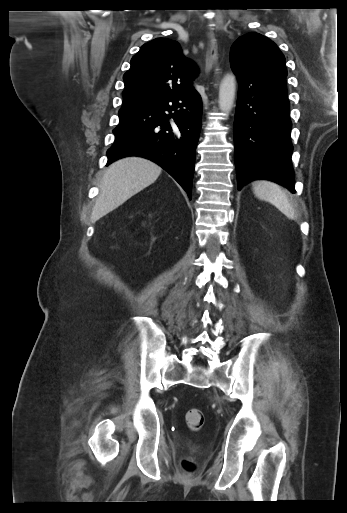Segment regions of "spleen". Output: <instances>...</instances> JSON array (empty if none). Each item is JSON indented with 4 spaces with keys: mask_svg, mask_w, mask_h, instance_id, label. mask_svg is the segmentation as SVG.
<instances>
[{
    "mask_svg": "<svg viewBox=\"0 0 347 513\" xmlns=\"http://www.w3.org/2000/svg\"><path fill=\"white\" fill-rule=\"evenodd\" d=\"M253 192L257 198L270 202L276 206L288 218L296 217L294 207L282 188L267 180H258L253 183Z\"/></svg>",
    "mask_w": 347,
    "mask_h": 513,
    "instance_id": "1",
    "label": "spleen"
}]
</instances>
